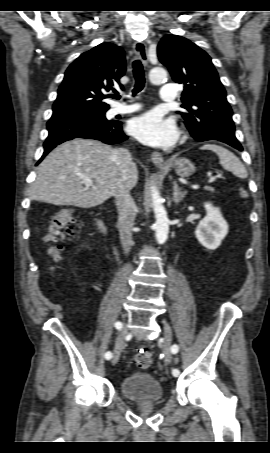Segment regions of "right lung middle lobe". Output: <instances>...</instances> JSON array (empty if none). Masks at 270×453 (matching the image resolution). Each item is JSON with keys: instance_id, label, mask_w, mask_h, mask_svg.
Masks as SVG:
<instances>
[{"instance_id": "right-lung-middle-lobe-1", "label": "right lung middle lobe", "mask_w": 270, "mask_h": 453, "mask_svg": "<svg viewBox=\"0 0 270 453\" xmlns=\"http://www.w3.org/2000/svg\"><path fill=\"white\" fill-rule=\"evenodd\" d=\"M106 111L107 110H90V111L80 112L78 114H75V116L90 118L97 122H108L107 119L105 118Z\"/></svg>"}]
</instances>
